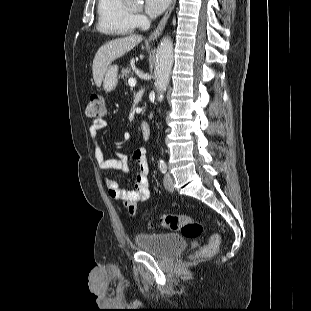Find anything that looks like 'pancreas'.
<instances>
[{
	"label": "pancreas",
	"instance_id": "obj_1",
	"mask_svg": "<svg viewBox=\"0 0 311 311\" xmlns=\"http://www.w3.org/2000/svg\"><path fill=\"white\" fill-rule=\"evenodd\" d=\"M132 67H133V65L122 68L120 77L122 79H127L129 76H131L132 75Z\"/></svg>",
	"mask_w": 311,
	"mask_h": 311
}]
</instances>
